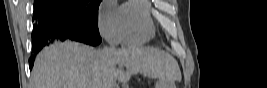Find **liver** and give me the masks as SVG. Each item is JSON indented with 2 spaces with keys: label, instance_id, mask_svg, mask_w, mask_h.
Masks as SVG:
<instances>
[{
  "label": "liver",
  "instance_id": "liver-1",
  "mask_svg": "<svg viewBox=\"0 0 267 88\" xmlns=\"http://www.w3.org/2000/svg\"><path fill=\"white\" fill-rule=\"evenodd\" d=\"M126 67V71L123 67ZM163 78L181 77L177 61L167 52L141 46L94 48L66 41L45 47L36 57L33 88H114L132 74Z\"/></svg>",
  "mask_w": 267,
  "mask_h": 88
}]
</instances>
